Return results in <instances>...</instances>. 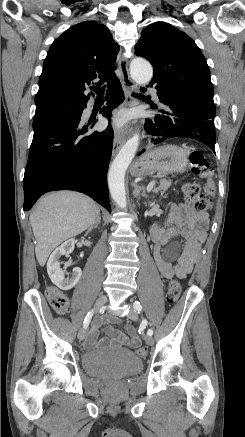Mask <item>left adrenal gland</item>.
Listing matches in <instances>:
<instances>
[{
	"instance_id": "1",
	"label": "left adrenal gland",
	"mask_w": 245,
	"mask_h": 437,
	"mask_svg": "<svg viewBox=\"0 0 245 437\" xmlns=\"http://www.w3.org/2000/svg\"><path fill=\"white\" fill-rule=\"evenodd\" d=\"M132 186L134 187L133 195L135 198H138V200H140V196L144 198H148V195L146 194L145 190L141 186H138L135 183H133Z\"/></svg>"
}]
</instances>
